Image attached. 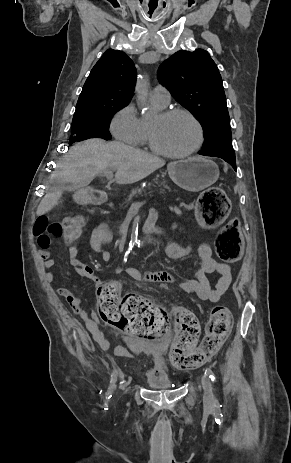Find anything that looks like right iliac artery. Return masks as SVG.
I'll list each match as a JSON object with an SVG mask.
<instances>
[{
    "label": "right iliac artery",
    "instance_id": "82829eb1",
    "mask_svg": "<svg viewBox=\"0 0 291 463\" xmlns=\"http://www.w3.org/2000/svg\"><path fill=\"white\" fill-rule=\"evenodd\" d=\"M112 381H113V382L115 381V376H114V377L112 376L111 382H112ZM110 397H111V395L108 397V399H109ZM106 409H107V408H105V410H106Z\"/></svg>",
    "mask_w": 291,
    "mask_h": 463
}]
</instances>
